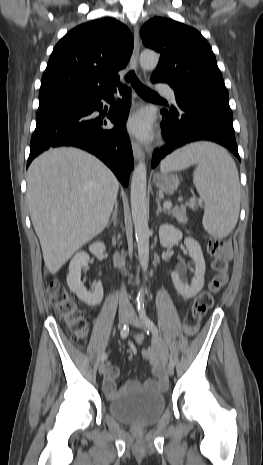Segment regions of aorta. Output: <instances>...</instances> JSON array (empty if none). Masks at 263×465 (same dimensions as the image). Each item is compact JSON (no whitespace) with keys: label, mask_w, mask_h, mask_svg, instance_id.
<instances>
[{"label":"aorta","mask_w":263,"mask_h":465,"mask_svg":"<svg viewBox=\"0 0 263 465\" xmlns=\"http://www.w3.org/2000/svg\"><path fill=\"white\" fill-rule=\"evenodd\" d=\"M140 65L144 69H153L159 62V55L154 51H143L140 54ZM147 169L144 162H140L133 171L130 190V201L132 218L135 228V236L138 247V255L141 267L147 271L149 262V236L147 217ZM143 293V291H142ZM138 299L143 300V295L139 294Z\"/></svg>","instance_id":"obj_1"}]
</instances>
